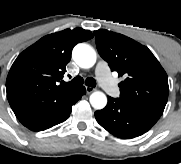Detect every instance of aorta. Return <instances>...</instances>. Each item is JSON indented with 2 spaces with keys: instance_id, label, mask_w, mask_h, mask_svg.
<instances>
[{
  "instance_id": "762f6f07",
  "label": "aorta",
  "mask_w": 181,
  "mask_h": 164,
  "mask_svg": "<svg viewBox=\"0 0 181 164\" xmlns=\"http://www.w3.org/2000/svg\"><path fill=\"white\" fill-rule=\"evenodd\" d=\"M72 58L81 68H91L96 63V52L88 44H78L72 52ZM90 104L94 109H103L107 104V97L101 91H95L90 95Z\"/></svg>"
}]
</instances>
